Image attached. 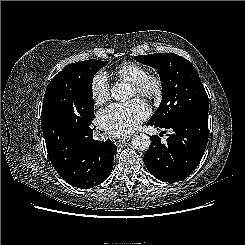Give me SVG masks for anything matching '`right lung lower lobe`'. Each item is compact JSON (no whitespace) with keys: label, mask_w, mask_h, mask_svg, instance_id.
<instances>
[{"label":"right lung lower lobe","mask_w":245,"mask_h":245,"mask_svg":"<svg viewBox=\"0 0 245 245\" xmlns=\"http://www.w3.org/2000/svg\"><path fill=\"white\" fill-rule=\"evenodd\" d=\"M54 169L74 187L89 189L105 181L113 169L116 145L93 139V130L64 129L44 136Z\"/></svg>","instance_id":"right-lung-lower-lobe-1"}]
</instances>
